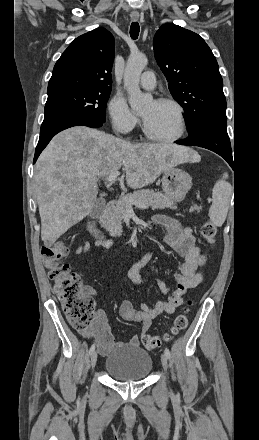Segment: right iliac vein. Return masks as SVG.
Segmentation results:
<instances>
[{"instance_id":"1","label":"right iliac vein","mask_w":259,"mask_h":440,"mask_svg":"<svg viewBox=\"0 0 259 440\" xmlns=\"http://www.w3.org/2000/svg\"><path fill=\"white\" fill-rule=\"evenodd\" d=\"M96 362H97V352L94 351L91 354V360H90V364H91L92 369L95 367Z\"/></svg>"}]
</instances>
